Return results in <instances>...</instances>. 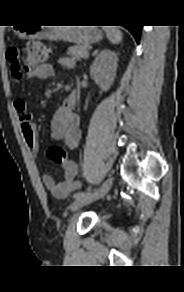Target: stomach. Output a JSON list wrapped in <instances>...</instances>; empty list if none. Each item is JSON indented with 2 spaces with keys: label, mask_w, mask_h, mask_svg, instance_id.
<instances>
[{
  "label": "stomach",
  "mask_w": 184,
  "mask_h": 292,
  "mask_svg": "<svg viewBox=\"0 0 184 292\" xmlns=\"http://www.w3.org/2000/svg\"><path fill=\"white\" fill-rule=\"evenodd\" d=\"M19 35L27 39L48 38L85 45L97 42L103 36L96 27H60L48 32L40 31V28H22L19 29Z\"/></svg>",
  "instance_id": "stomach-1"
}]
</instances>
